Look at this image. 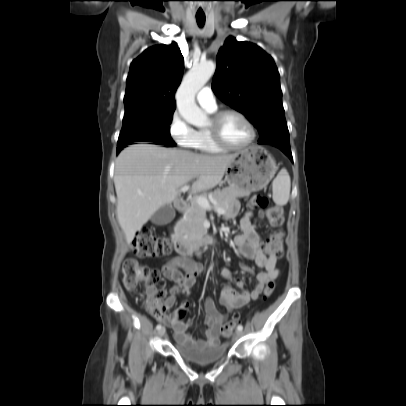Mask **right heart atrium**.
Listing matches in <instances>:
<instances>
[{
    "mask_svg": "<svg viewBox=\"0 0 406 406\" xmlns=\"http://www.w3.org/2000/svg\"><path fill=\"white\" fill-rule=\"evenodd\" d=\"M169 132L174 141L182 147H191L197 131L175 110L169 122Z\"/></svg>",
    "mask_w": 406,
    "mask_h": 406,
    "instance_id": "d8ad5b80",
    "label": "right heart atrium"
}]
</instances>
